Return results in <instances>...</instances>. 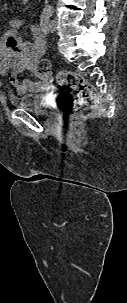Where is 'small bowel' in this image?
<instances>
[{"instance_id":"small-bowel-1","label":"small bowel","mask_w":127,"mask_h":303,"mask_svg":"<svg viewBox=\"0 0 127 303\" xmlns=\"http://www.w3.org/2000/svg\"><path fill=\"white\" fill-rule=\"evenodd\" d=\"M9 30L0 35V75L7 78L17 93L37 92L49 87L48 76L40 75L36 62L46 53V37L41 25L31 26L32 41L23 40L18 30L23 25L21 19H11ZM25 71L33 73L37 80L24 79L19 76Z\"/></svg>"}]
</instances>
